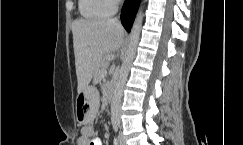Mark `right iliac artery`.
I'll use <instances>...</instances> for the list:
<instances>
[{"label": "right iliac artery", "mask_w": 243, "mask_h": 145, "mask_svg": "<svg viewBox=\"0 0 243 145\" xmlns=\"http://www.w3.org/2000/svg\"><path fill=\"white\" fill-rule=\"evenodd\" d=\"M118 124H113V128H114V131L117 132L118 131Z\"/></svg>", "instance_id": "obj_1"}]
</instances>
